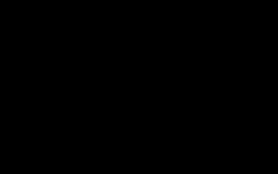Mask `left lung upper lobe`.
<instances>
[{
	"label": "left lung upper lobe",
	"mask_w": 278,
	"mask_h": 174,
	"mask_svg": "<svg viewBox=\"0 0 278 174\" xmlns=\"http://www.w3.org/2000/svg\"><path fill=\"white\" fill-rule=\"evenodd\" d=\"M157 29L165 34L177 36L185 45L186 63L176 83H182L197 76L214 77L215 63L212 52L199 32L179 22L158 24Z\"/></svg>",
	"instance_id": "obj_1"
}]
</instances>
